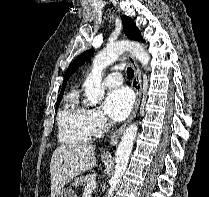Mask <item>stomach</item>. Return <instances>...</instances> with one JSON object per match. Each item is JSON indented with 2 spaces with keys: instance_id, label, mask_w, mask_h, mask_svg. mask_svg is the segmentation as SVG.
<instances>
[{
  "instance_id": "obj_1",
  "label": "stomach",
  "mask_w": 209,
  "mask_h": 197,
  "mask_svg": "<svg viewBox=\"0 0 209 197\" xmlns=\"http://www.w3.org/2000/svg\"><path fill=\"white\" fill-rule=\"evenodd\" d=\"M55 197H77L75 192L70 188L60 190Z\"/></svg>"
}]
</instances>
